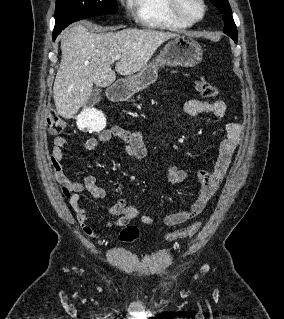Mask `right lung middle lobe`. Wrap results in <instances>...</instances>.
<instances>
[{
	"instance_id": "dd1d6c3e",
	"label": "right lung middle lobe",
	"mask_w": 284,
	"mask_h": 319,
	"mask_svg": "<svg viewBox=\"0 0 284 319\" xmlns=\"http://www.w3.org/2000/svg\"><path fill=\"white\" fill-rule=\"evenodd\" d=\"M117 11L115 0H56V23L53 33L59 34L75 21Z\"/></svg>"
}]
</instances>
